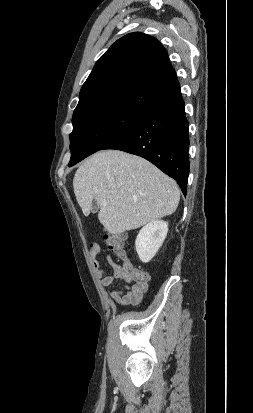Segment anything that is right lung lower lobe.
Here are the masks:
<instances>
[{"instance_id": "1", "label": "right lung lower lobe", "mask_w": 253, "mask_h": 413, "mask_svg": "<svg viewBox=\"0 0 253 413\" xmlns=\"http://www.w3.org/2000/svg\"><path fill=\"white\" fill-rule=\"evenodd\" d=\"M104 149L141 156L177 181L186 195L189 132L182 97L149 112L131 132Z\"/></svg>"}]
</instances>
